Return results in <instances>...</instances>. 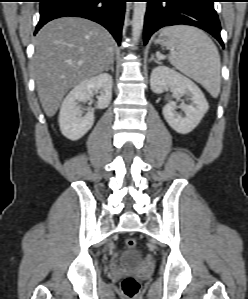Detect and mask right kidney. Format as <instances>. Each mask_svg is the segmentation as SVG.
I'll use <instances>...</instances> for the list:
<instances>
[{
    "mask_svg": "<svg viewBox=\"0 0 248 299\" xmlns=\"http://www.w3.org/2000/svg\"><path fill=\"white\" fill-rule=\"evenodd\" d=\"M112 76L101 73L80 82L65 97L59 114V125L62 134L70 140H78L84 136L94 123V109L88 108L84 117L80 115V102L92 99L94 93L97 96V108L108 107L112 99Z\"/></svg>",
    "mask_w": 248,
    "mask_h": 299,
    "instance_id": "ca27d5eb",
    "label": "right kidney"
}]
</instances>
